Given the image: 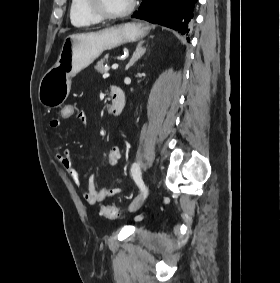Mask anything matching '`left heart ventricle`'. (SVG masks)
<instances>
[{
	"label": "left heart ventricle",
	"instance_id": "left-heart-ventricle-1",
	"mask_svg": "<svg viewBox=\"0 0 280 283\" xmlns=\"http://www.w3.org/2000/svg\"><path fill=\"white\" fill-rule=\"evenodd\" d=\"M103 7L109 13H119L128 8L131 0H101Z\"/></svg>",
	"mask_w": 280,
	"mask_h": 283
}]
</instances>
